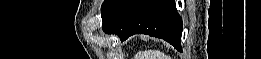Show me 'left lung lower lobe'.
I'll use <instances>...</instances> for the list:
<instances>
[{
	"mask_svg": "<svg viewBox=\"0 0 261 59\" xmlns=\"http://www.w3.org/2000/svg\"><path fill=\"white\" fill-rule=\"evenodd\" d=\"M102 20L103 31L122 41L133 34H148L182 51V20L174 0H120Z\"/></svg>",
	"mask_w": 261,
	"mask_h": 59,
	"instance_id": "left-lung-lower-lobe-1",
	"label": "left lung lower lobe"
}]
</instances>
